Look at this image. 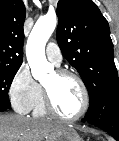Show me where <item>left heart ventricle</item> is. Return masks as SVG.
Returning <instances> with one entry per match:
<instances>
[{
  "label": "left heart ventricle",
  "mask_w": 119,
  "mask_h": 141,
  "mask_svg": "<svg viewBox=\"0 0 119 141\" xmlns=\"http://www.w3.org/2000/svg\"><path fill=\"white\" fill-rule=\"evenodd\" d=\"M43 85L49 91L54 106L61 114L73 116L80 111L83 95L75 79L59 77L53 72Z\"/></svg>",
  "instance_id": "1"
}]
</instances>
